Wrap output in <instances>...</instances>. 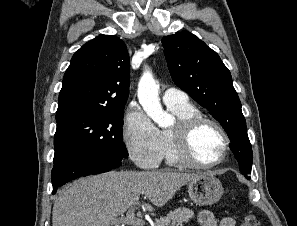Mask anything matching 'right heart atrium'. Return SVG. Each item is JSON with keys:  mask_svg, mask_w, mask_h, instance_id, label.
Instances as JSON below:
<instances>
[{"mask_svg": "<svg viewBox=\"0 0 297 226\" xmlns=\"http://www.w3.org/2000/svg\"><path fill=\"white\" fill-rule=\"evenodd\" d=\"M122 138L129 157L138 167L153 169L159 165L163 158L160 131L136 103L126 112Z\"/></svg>", "mask_w": 297, "mask_h": 226, "instance_id": "right-heart-atrium-1", "label": "right heart atrium"}]
</instances>
